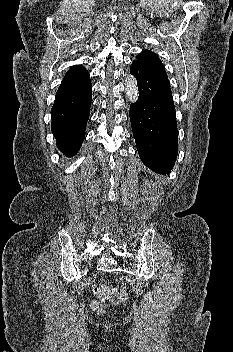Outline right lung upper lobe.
<instances>
[{
    "instance_id": "obj_1",
    "label": "right lung upper lobe",
    "mask_w": 233,
    "mask_h": 352,
    "mask_svg": "<svg viewBox=\"0 0 233 352\" xmlns=\"http://www.w3.org/2000/svg\"><path fill=\"white\" fill-rule=\"evenodd\" d=\"M85 71V68L83 66H73L71 67L65 74L64 78H68L74 75H77L81 72Z\"/></svg>"
}]
</instances>
